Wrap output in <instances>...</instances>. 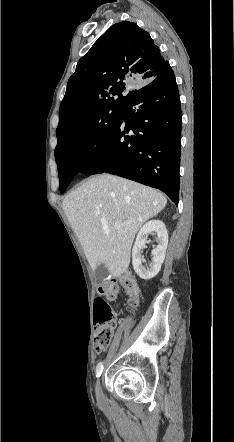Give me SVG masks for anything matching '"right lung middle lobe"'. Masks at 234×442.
<instances>
[{
	"label": "right lung middle lobe",
	"instance_id": "1",
	"mask_svg": "<svg viewBox=\"0 0 234 442\" xmlns=\"http://www.w3.org/2000/svg\"><path fill=\"white\" fill-rule=\"evenodd\" d=\"M120 113L121 106L95 111L80 119L70 132L58 139L55 159L61 193L66 190L85 160L109 137L119 121Z\"/></svg>",
	"mask_w": 234,
	"mask_h": 442
}]
</instances>
